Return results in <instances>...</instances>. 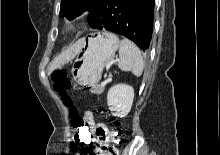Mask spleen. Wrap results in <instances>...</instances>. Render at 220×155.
Masks as SVG:
<instances>
[{
  "label": "spleen",
  "instance_id": "obj_1",
  "mask_svg": "<svg viewBox=\"0 0 220 155\" xmlns=\"http://www.w3.org/2000/svg\"><path fill=\"white\" fill-rule=\"evenodd\" d=\"M118 67L122 71H130L136 77L141 76L144 68V61L138 47L129 39H122L119 48Z\"/></svg>",
  "mask_w": 220,
  "mask_h": 155
}]
</instances>
